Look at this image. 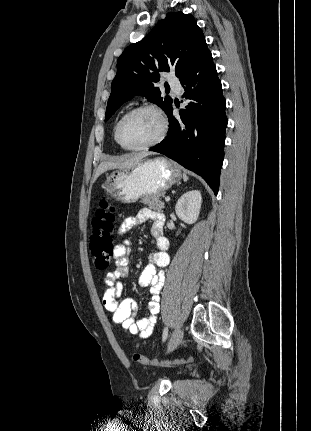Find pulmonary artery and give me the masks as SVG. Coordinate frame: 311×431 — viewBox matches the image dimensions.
<instances>
[{"instance_id":"pulmonary-artery-1","label":"pulmonary artery","mask_w":311,"mask_h":431,"mask_svg":"<svg viewBox=\"0 0 311 431\" xmlns=\"http://www.w3.org/2000/svg\"><path fill=\"white\" fill-rule=\"evenodd\" d=\"M170 86L172 87V89L177 93V94H181L182 93V86L180 84L179 81H170Z\"/></svg>"}]
</instances>
